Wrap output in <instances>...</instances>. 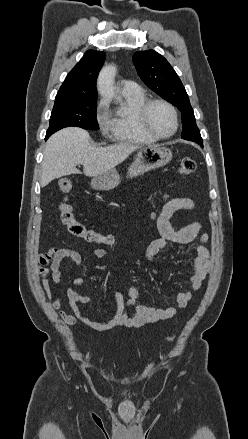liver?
Segmentation results:
<instances>
[{
    "mask_svg": "<svg viewBox=\"0 0 248 439\" xmlns=\"http://www.w3.org/2000/svg\"><path fill=\"white\" fill-rule=\"evenodd\" d=\"M138 149L139 146L130 143L94 147L86 130L64 128L53 134L46 143L41 185L46 186L52 180L66 175L79 174L76 168L78 164L83 165V173L88 177L101 175L114 169Z\"/></svg>",
    "mask_w": 248,
    "mask_h": 439,
    "instance_id": "liver-1",
    "label": "liver"
}]
</instances>
